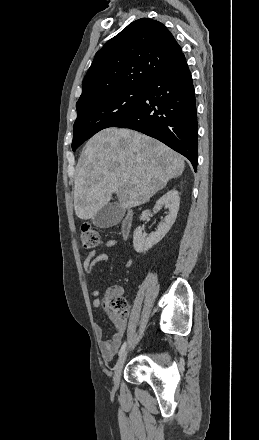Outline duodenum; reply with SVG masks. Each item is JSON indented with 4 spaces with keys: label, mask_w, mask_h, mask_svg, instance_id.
<instances>
[{
    "label": "duodenum",
    "mask_w": 259,
    "mask_h": 440,
    "mask_svg": "<svg viewBox=\"0 0 259 440\" xmlns=\"http://www.w3.org/2000/svg\"><path fill=\"white\" fill-rule=\"evenodd\" d=\"M134 214L132 211H128L125 213L122 221H121V234L124 238H127L133 228Z\"/></svg>",
    "instance_id": "duodenum-1"
}]
</instances>
